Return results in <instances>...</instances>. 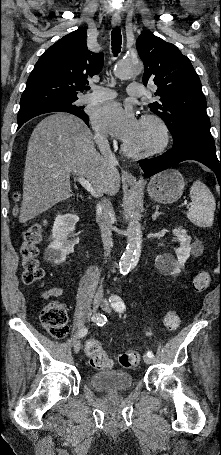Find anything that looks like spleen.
<instances>
[{
	"label": "spleen",
	"mask_w": 221,
	"mask_h": 455,
	"mask_svg": "<svg viewBox=\"0 0 221 455\" xmlns=\"http://www.w3.org/2000/svg\"><path fill=\"white\" fill-rule=\"evenodd\" d=\"M192 205L186 212L187 218L199 227H211L216 203L210 189L201 181H195L190 189Z\"/></svg>",
	"instance_id": "spleen-1"
}]
</instances>
